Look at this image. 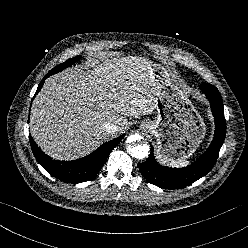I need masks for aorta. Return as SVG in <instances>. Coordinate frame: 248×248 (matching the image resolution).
Returning <instances> with one entry per match:
<instances>
[{
  "label": "aorta",
  "mask_w": 248,
  "mask_h": 248,
  "mask_svg": "<svg viewBox=\"0 0 248 248\" xmlns=\"http://www.w3.org/2000/svg\"><path fill=\"white\" fill-rule=\"evenodd\" d=\"M141 137L139 135H132L129 137V142H134L139 140ZM150 147L147 144H129L127 146V152L134 158L143 159L148 156Z\"/></svg>",
  "instance_id": "1"
}]
</instances>
